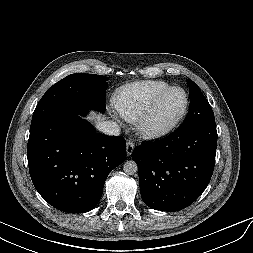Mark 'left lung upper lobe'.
<instances>
[{"instance_id": "1", "label": "left lung upper lobe", "mask_w": 253, "mask_h": 253, "mask_svg": "<svg viewBox=\"0 0 253 253\" xmlns=\"http://www.w3.org/2000/svg\"><path fill=\"white\" fill-rule=\"evenodd\" d=\"M190 109L180 129L187 130L210 122H215L214 113L200 88L192 81H188Z\"/></svg>"}]
</instances>
